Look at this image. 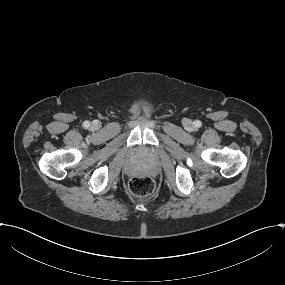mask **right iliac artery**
Returning <instances> with one entry per match:
<instances>
[{"label": "right iliac artery", "mask_w": 285, "mask_h": 285, "mask_svg": "<svg viewBox=\"0 0 285 285\" xmlns=\"http://www.w3.org/2000/svg\"><path fill=\"white\" fill-rule=\"evenodd\" d=\"M89 125H90V123H89L88 121H84L83 126H84L85 128H88Z\"/></svg>", "instance_id": "obj_1"}]
</instances>
